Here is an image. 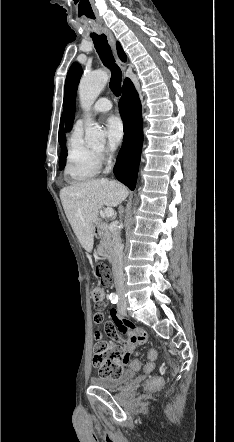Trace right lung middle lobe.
Here are the masks:
<instances>
[{
  "mask_svg": "<svg viewBox=\"0 0 234 442\" xmlns=\"http://www.w3.org/2000/svg\"><path fill=\"white\" fill-rule=\"evenodd\" d=\"M66 156H67V150H66V147L63 146L62 147V153L60 155V160H59V167H60V169H63L65 164H66Z\"/></svg>",
  "mask_w": 234,
  "mask_h": 442,
  "instance_id": "1",
  "label": "right lung middle lobe"
}]
</instances>
